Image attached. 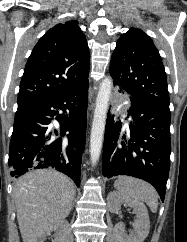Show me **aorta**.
<instances>
[{
	"instance_id": "obj_1",
	"label": "aorta",
	"mask_w": 187,
	"mask_h": 242,
	"mask_svg": "<svg viewBox=\"0 0 187 242\" xmlns=\"http://www.w3.org/2000/svg\"><path fill=\"white\" fill-rule=\"evenodd\" d=\"M112 87V79L106 77L100 83L97 94L90 136V159L92 165H96L101 154Z\"/></svg>"
}]
</instances>
